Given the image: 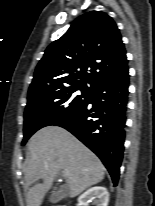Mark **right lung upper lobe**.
Here are the masks:
<instances>
[{"instance_id": "cb5924a9", "label": "right lung upper lobe", "mask_w": 155, "mask_h": 206, "mask_svg": "<svg viewBox=\"0 0 155 206\" xmlns=\"http://www.w3.org/2000/svg\"><path fill=\"white\" fill-rule=\"evenodd\" d=\"M126 67V51L116 23L103 12L90 11L48 46L36 67L28 96L68 85L88 83L94 89Z\"/></svg>"}]
</instances>
